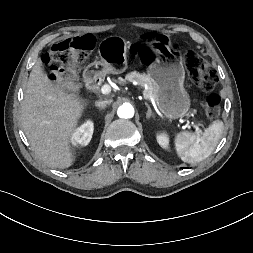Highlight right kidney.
<instances>
[{
  "label": "right kidney",
  "mask_w": 253,
  "mask_h": 253,
  "mask_svg": "<svg viewBox=\"0 0 253 253\" xmlns=\"http://www.w3.org/2000/svg\"><path fill=\"white\" fill-rule=\"evenodd\" d=\"M94 125L93 122L88 120L78 127L71 137V142L74 145L86 146L89 144L93 135Z\"/></svg>",
  "instance_id": "ca27d5eb"
}]
</instances>
